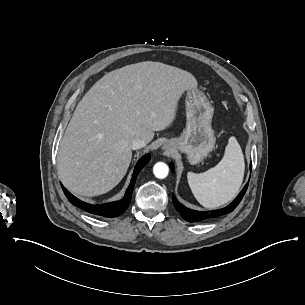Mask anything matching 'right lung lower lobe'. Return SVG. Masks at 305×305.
Wrapping results in <instances>:
<instances>
[{"mask_svg": "<svg viewBox=\"0 0 305 305\" xmlns=\"http://www.w3.org/2000/svg\"><path fill=\"white\" fill-rule=\"evenodd\" d=\"M149 161H150L149 154L145 155L138 161V163L135 167V170H134V174H133L130 186H129V188H127L125 196L119 201H114L111 203H106V204H101V205H91V204L84 203V202L80 201L79 199H77L63 186H62V188H63V191H64L66 197L73 205H75L89 213H92V214L105 216V217H116V216H119L122 213H124L125 210L128 208L137 175L140 172V170Z\"/></svg>", "mask_w": 305, "mask_h": 305, "instance_id": "obj_1", "label": "right lung lower lobe"}]
</instances>
